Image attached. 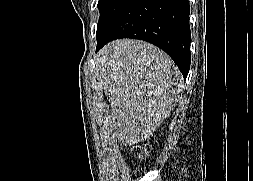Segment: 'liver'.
Here are the masks:
<instances>
[{"label":"liver","instance_id":"1","mask_svg":"<svg viewBox=\"0 0 253 181\" xmlns=\"http://www.w3.org/2000/svg\"><path fill=\"white\" fill-rule=\"evenodd\" d=\"M94 61L116 139L127 146L152 135L176 105L181 74L170 57L152 44L123 39L104 46Z\"/></svg>","mask_w":253,"mask_h":181}]
</instances>
